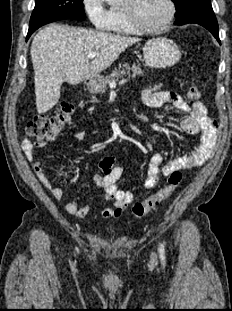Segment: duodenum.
I'll return each instance as SVG.
<instances>
[{"label": "duodenum", "instance_id": "duodenum-1", "mask_svg": "<svg viewBox=\"0 0 232 311\" xmlns=\"http://www.w3.org/2000/svg\"><path fill=\"white\" fill-rule=\"evenodd\" d=\"M89 82V80H86V83H88Z\"/></svg>", "mask_w": 232, "mask_h": 311}]
</instances>
